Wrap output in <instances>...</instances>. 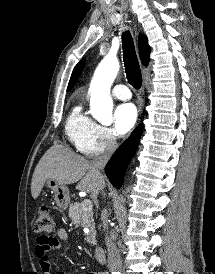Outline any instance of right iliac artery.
Masks as SVG:
<instances>
[{"mask_svg":"<svg viewBox=\"0 0 215 274\" xmlns=\"http://www.w3.org/2000/svg\"><path fill=\"white\" fill-rule=\"evenodd\" d=\"M113 274H120L119 272H113Z\"/></svg>","mask_w":215,"mask_h":274,"instance_id":"right-iliac-artery-1","label":"right iliac artery"}]
</instances>
